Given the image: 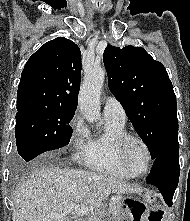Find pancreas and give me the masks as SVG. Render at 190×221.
Wrapping results in <instances>:
<instances>
[{
	"mask_svg": "<svg viewBox=\"0 0 190 221\" xmlns=\"http://www.w3.org/2000/svg\"><path fill=\"white\" fill-rule=\"evenodd\" d=\"M105 208L106 206H102V208L98 209L89 221H103L106 214L121 215V204L118 202H110L108 208L106 210Z\"/></svg>",
	"mask_w": 190,
	"mask_h": 221,
	"instance_id": "obj_1",
	"label": "pancreas"
}]
</instances>
